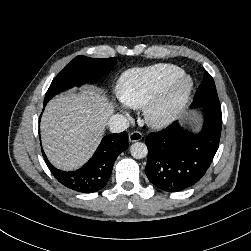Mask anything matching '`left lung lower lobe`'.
Segmentation results:
<instances>
[{
	"label": "left lung lower lobe",
	"instance_id": "1",
	"mask_svg": "<svg viewBox=\"0 0 251 251\" xmlns=\"http://www.w3.org/2000/svg\"><path fill=\"white\" fill-rule=\"evenodd\" d=\"M194 107V106H192ZM204 125L199 134L186 132L178 122L146 137L149 181L157 188L176 192L199 181L218 149L221 109L204 107Z\"/></svg>",
	"mask_w": 251,
	"mask_h": 251
}]
</instances>
